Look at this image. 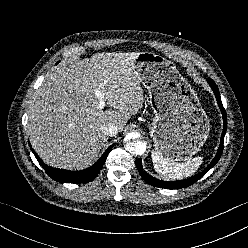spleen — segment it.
Segmentation results:
<instances>
[{
  "label": "spleen",
  "mask_w": 248,
  "mask_h": 248,
  "mask_svg": "<svg viewBox=\"0 0 248 248\" xmlns=\"http://www.w3.org/2000/svg\"><path fill=\"white\" fill-rule=\"evenodd\" d=\"M152 162L157 173L165 180H177L192 176L202 164V157H196L185 163L168 162L152 153Z\"/></svg>",
  "instance_id": "3e777b00"
}]
</instances>
